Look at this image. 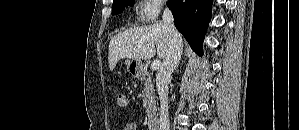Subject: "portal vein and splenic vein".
Wrapping results in <instances>:
<instances>
[{
  "mask_svg": "<svg viewBox=\"0 0 299 130\" xmlns=\"http://www.w3.org/2000/svg\"><path fill=\"white\" fill-rule=\"evenodd\" d=\"M161 65V62L159 60H156L154 61L152 64H151V70H157Z\"/></svg>",
  "mask_w": 299,
  "mask_h": 130,
  "instance_id": "18ae733b",
  "label": "portal vein and splenic vein"
}]
</instances>
